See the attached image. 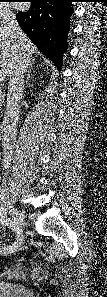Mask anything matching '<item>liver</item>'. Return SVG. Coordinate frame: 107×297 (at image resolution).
<instances>
[{
	"label": "liver",
	"instance_id": "6515ba94",
	"mask_svg": "<svg viewBox=\"0 0 107 297\" xmlns=\"http://www.w3.org/2000/svg\"><path fill=\"white\" fill-rule=\"evenodd\" d=\"M22 47L31 57L37 49L32 41L20 30L17 38H11L5 31H0V74L9 75L14 65L18 48Z\"/></svg>",
	"mask_w": 107,
	"mask_h": 297
}]
</instances>
